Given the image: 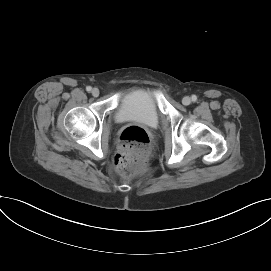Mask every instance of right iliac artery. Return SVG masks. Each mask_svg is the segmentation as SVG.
I'll use <instances>...</instances> for the list:
<instances>
[{
    "mask_svg": "<svg viewBox=\"0 0 271 271\" xmlns=\"http://www.w3.org/2000/svg\"><path fill=\"white\" fill-rule=\"evenodd\" d=\"M86 90H87L88 92H90V91L92 90V88H91L90 86H87V87H86Z\"/></svg>",
    "mask_w": 271,
    "mask_h": 271,
    "instance_id": "right-iliac-artery-1",
    "label": "right iliac artery"
}]
</instances>
